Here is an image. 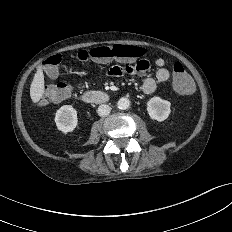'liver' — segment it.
I'll use <instances>...</instances> for the list:
<instances>
[{
    "instance_id": "1",
    "label": "liver",
    "mask_w": 232,
    "mask_h": 232,
    "mask_svg": "<svg viewBox=\"0 0 232 232\" xmlns=\"http://www.w3.org/2000/svg\"><path fill=\"white\" fill-rule=\"evenodd\" d=\"M45 90L44 74L41 68L37 69L30 86V97L34 103H37L43 96Z\"/></svg>"
}]
</instances>
